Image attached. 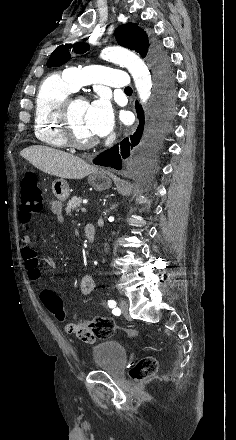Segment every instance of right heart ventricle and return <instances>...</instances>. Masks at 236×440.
Wrapping results in <instances>:
<instances>
[{
	"label": "right heart ventricle",
	"mask_w": 236,
	"mask_h": 440,
	"mask_svg": "<svg viewBox=\"0 0 236 440\" xmlns=\"http://www.w3.org/2000/svg\"><path fill=\"white\" fill-rule=\"evenodd\" d=\"M73 91L70 82L60 74L48 76L40 85L34 109V133L40 142L57 149L67 147L60 134L57 111L63 99Z\"/></svg>",
	"instance_id": "obj_1"
}]
</instances>
